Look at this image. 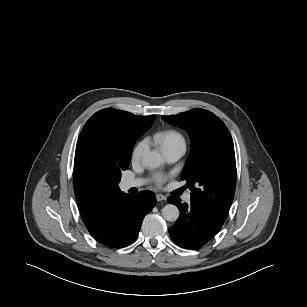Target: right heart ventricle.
Masks as SVG:
<instances>
[{
	"label": "right heart ventricle",
	"mask_w": 307,
	"mask_h": 307,
	"mask_svg": "<svg viewBox=\"0 0 307 307\" xmlns=\"http://www.w3.org/2000/svg\"><path fill=\"white\" fill-rule=\"evenodd\" d=\"M154 138L161 145L164 152L173 147L185 146L183 135L176 130L158 132Z\"/></svg>",
	"instance_id": "obj_1"
}]
</instances>
